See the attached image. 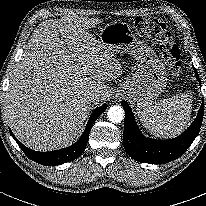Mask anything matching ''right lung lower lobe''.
<instances>
[{
  "label": "right lung lower lobe",
  "mask_w": 206,
  "mask_h": 206,
  "mask_svg": "<svg viewBox=\"0 0 206 206\" xmlns=\"http://www.w3.org/2000/svg\"><path fill=\"white\" fill-rule=\"evenodd\" d=\"M107 108V105L104 104L98 108H96L93 113L91 114L86 128L82 134V136L79 138L77 142L72 144L71 146L61 149V150H56V151H51V152H39V151H34L26 146H24L22 143H20L16 137L13 135V133L10 130L11 136L15 139L19 147L22 149V151L33 161L46 165V166H55V165H60L63 163H66L68 161L74 160L77 157H79L83 151L86 148L88 139H89V133L90 130L94 124V122L97 120V118L105 111Z\"/></svg>",
  "instance_id": "obj_1"
}]
</instances>
